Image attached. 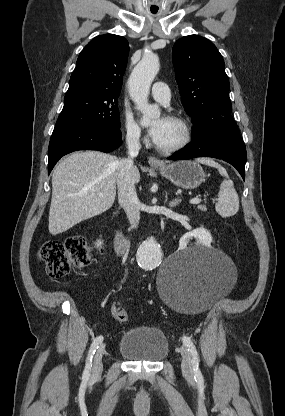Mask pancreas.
<instances>
[{
    "label": "pancreas",
    "mask_w": 285,
    "mask_h": 416,
    "mask_svg": "<svg viewBox=\"0 0 285 416\" xmlns=\"http://www.w3.org/2000/svg\"><path fill=\"white\" fill-rule=\"evenodd\" d=\"M198 210H202V212H207L206 206H198Z\"/></svg>",
    "instance_id": "pancreas-1"
}]
</instances>
